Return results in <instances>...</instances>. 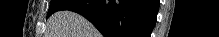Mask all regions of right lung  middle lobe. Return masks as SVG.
I'll use <instances>...</instances> for the list:
<instances>
[{
	"instance_id": "dd1d6c3e",
	"label": "right lung middle lobe",
	"mask_w": 219,
	"mask_h": 37,
	"mask_svg": "<svg viewBox=\"0 0 219 37\" xmlns=\"http://www.w3.org/2000/svg\"><path fill=\"white\" fill-rule=\"evenodd\" d=\"M67 2L68 1H66V0H52L51 4H50V8L48 10L47 17H49L53 13L59 11V9Z\"/></svg>"
}]
</instances>
